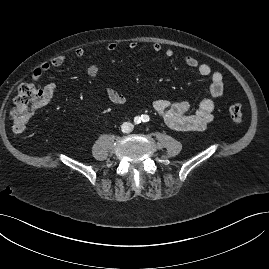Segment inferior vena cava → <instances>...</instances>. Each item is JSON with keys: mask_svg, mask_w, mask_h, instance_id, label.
<instances>
[{"mask_svg": "<svg viewBox=\"0 0 269 269\" xmlns=\"http://www.w3.org/2000/svg\"><path fill=\"white\" fill-rule=\"evenodd\" d=\"M121 128H122L123 133H129V132H131L133 130L134 126L130 122H125V123L122 124Z\"/></svg>", "mask_w": 269, "mask_h": 269, "instance_id": "inferior-vena-cava-1", "label": "inferior vena cava"}]
</instances>
